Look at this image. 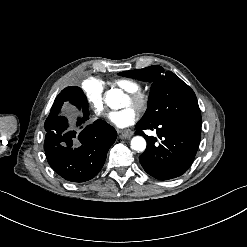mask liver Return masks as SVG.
I'll return each mask as SVG.
<instances>
[{
  "mask_svg": "<svg viewBox=\"0 0 247 247\" xmlns=\"http://www.w3.org/2000/svg\"><path fill=\"white\" fill-rule=\"evenodd\" d=\"M64 114L68 117L69 121L71 123L75 122V116H76V108L73 106L68 107L67 105L65 106V112Z\"/></svg>",
  "mask_w": 247,
  "mask_h": 247,
  "instance_id": "1",
  "label": "liver"
}]
</instances>
